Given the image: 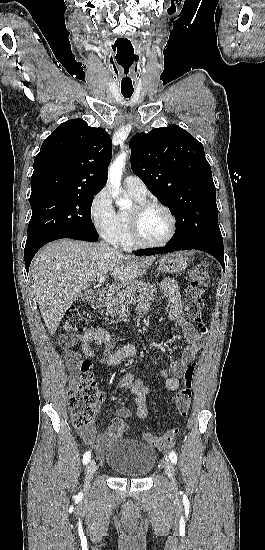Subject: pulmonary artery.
Wrapping results in <instances>:
<instances>
[{
	"instance_id": "pulmonary-artery-1",
	"label": "pulmonary artery",
	"mask_w": 265,
	"mask_h": 550,
	"mask_svg": "<svg viewBox=\"0 0 265 550\" xmlns=\"http://www.w3.org/2000/svg\"><path fill=\"white\" fill-rule=\"evenodd\" d=\"M126 190L140 197H145L147 194V187L145 183L137 176L129 175L125 178Z\"/></svg>"
}]
</instances>
